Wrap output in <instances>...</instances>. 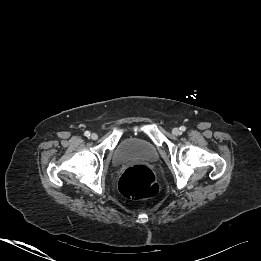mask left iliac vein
I'll list each match as a JSON object with an SVG mask.
<instances>
[{
    "label": "left iliac vein",
    "instance_id": "obj_1",
    "mask_svg": "<svg viewBox=\"0 0 261 261\" xmlns=\"http://www.w3.org/2000/svg\"><path fill=\"white\" fill-rule=\"evenodd\" d=\"M172 133H173L175 136H177V135H180V134H181V131H180L179 128H173Z\"/></svg>",
    "mask_w": 261,
    "mask_h": 261
}]
</instances>
